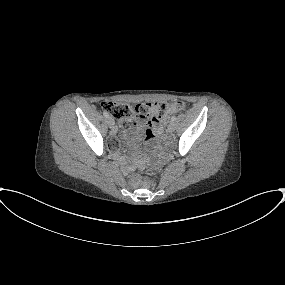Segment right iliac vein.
Masks as SVG:
<instances>
[{"mask_svg":"<svg viewBox=\"0 0 285 285\" xmlns=\"http://www.w3.org/2000/svg\"><path fill=\"white\" fill-rule=\"evenodd\" d=\"M107 123H108V125H109V127L112 129V130H114L115 129V126H114V120L111 118V117H109L108 119H107Z\"/></svg>","mask_w":285,"mask_h":285,"instance_id":"63e3f726","label":"right iliac vein"}]
</instances>
